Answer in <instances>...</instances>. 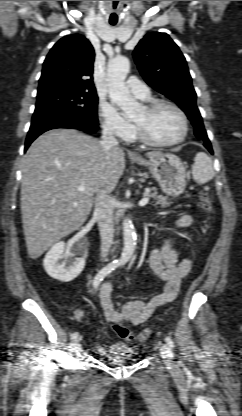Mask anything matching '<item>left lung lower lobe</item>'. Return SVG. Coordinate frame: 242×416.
I'll return each mask as SVG.
<instances>
[{"label": "left lung lower lobe", "instance_id": "obj_1", "mask_svg": "<svg viewBox=\"0 0 242 416\" xmlns=\"http://www.w3.org/2000/svg\"><path fill=\"white\" fill-rule=\"evenodd\" d=\"M204 146L209 150L211 154H213V150H212L211 143L209 140L204 142Z\"/></svg>", "mask_w": 242, "mask_h": 416}]
</instances>
